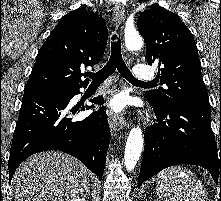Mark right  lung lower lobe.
Segmentation results:
<instances>
[{
    "instance_id": "98d812e1",
    "label": "right lung lower lobe",
    "mask_w": 221,
    "mask_h": 201,
    "mask_svg": "<svg viewBox=\"0 0 221 201\" xmlns=\"http://www.w3.org/2000/svg\"><path fill=\"white\" fill-rule=\"evenodd\" d=\"M81 87L58 92L24 91L10 150L9 180L27 157L47 150H60L76 157L102 178L110 141L106 112L102 107L81 121L73 120L70 116L79 107L70 109L68 104ZM90 101L102 104L103 97Z\"/></svg>"
}]
</instances>
